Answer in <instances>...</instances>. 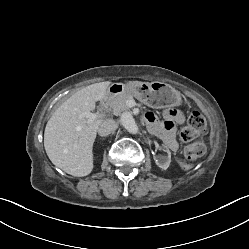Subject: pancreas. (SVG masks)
Listing matches in <instances>:
<instances>
[{
  "label": "pancreas",
  "instance_id": "1",
  "mask_svg": "<svg viewBox=\"0 0 249 249\" xmlns=\"http://www.w3.org/2000/svg\"><path fill=\"white\" fill-rule=\"evenodd\" d=\"M129 99H132V96L128 94H121V95L112 97L109 105L112 108L114 114H119L122 111L127 110L128 109L127 101Z\"/></svg>",
  "mask_w": 249,
  "mask_h": 249
}]
</instances>
